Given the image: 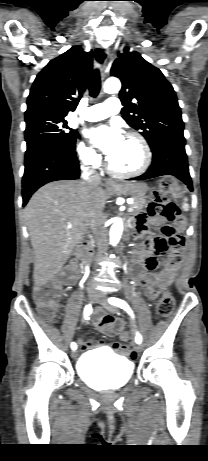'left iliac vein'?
Listing matches in <instances>:
<instances>
[{
	"instance_id": "4c4485c4",
	"label": "left iliac vein",
	"mask_w": 208,
	"mask_h": 461,
	"mask_svg": "<svg viewBox=\"0 0 208 461\" xmlns=\"http://www.w3.org/2000/svg\"><path fill=\"white\" fill-rule=\"evenodd\" d=\"M96 302L102 304L111 313H116L117 311L113 305H110L105 301L104 297L101 294L97 295ZM142 350H143V346L141 344H137L136 351L140 353L142 352Z\"/></svg>"
}]
</instances>
